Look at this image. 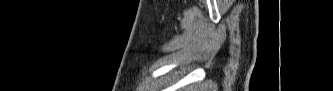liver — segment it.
Masks as SVG:
<instances>
[{
    "instance_id": "6515ba94",
    "label": "liver",
    "mask_w": 333,
    "mask_h": 91,
    "mask_svg": "<svg viewBox=\"0 0 333 91\" xmlns=\"http://www.w3.org/2000/svg\"><path fill=\"white\" fill-rule=\"evenodd\" d=\"M190 89H191V88H190ZM194 89H195L194 91H198V90H197V89H198L197 87H195Z\"/></svg>"
}]
</instances>
